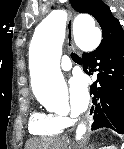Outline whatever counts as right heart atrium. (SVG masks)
I'll return each instance as SVG.
<instances>
[{"label": "right heart atrium", "instance_id": "1", "mask_svg": "<svg viewBox=\"0 0 124 149\" xmlns=\"http://www.w3.org/2000/svg\"><path fill=\"white\" fill-rule=\"evenodd\" d=\"M61 122L65 124V126L70 122L69 118L67 117H59Z\"/></svg>", "mask_w": 124, "mask_h": 149}]
</instances>
